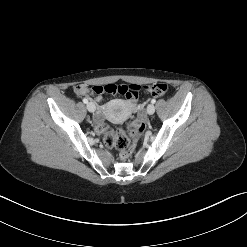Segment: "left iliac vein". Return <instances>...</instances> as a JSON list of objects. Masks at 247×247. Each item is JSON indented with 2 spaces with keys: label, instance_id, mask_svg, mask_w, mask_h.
<instances>
[{
  "label": "left iliac vein",
  "instance_id": "obj_1",
  "mask_svg": "<svg viewBox=\"0 0 247 247\" xmlns=\"http://www.w3.org/2000/svg\"><path fill=\"white\" fill-rule=\"evenodd\" d=\"M154 112H155V106H154L153 104H149V105L147 106V113H148L149 115H152V114H154Z\"/></svg>",
  "mask_w": 247,
  "mask_h": 247
}]
</instances>
